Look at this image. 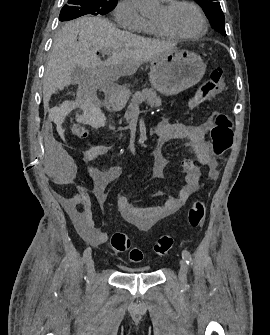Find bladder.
I'll use <instances>...</instances> for the list:
<instances>
[{"label": "bladder", "mask_w": 270, "mask_h": 335, "mask_svg": "<svg viewBox=\"0 0 270 335\" xmlns=\"http://www.w3.org/2000/svg\"><path fill=\"white\" fill-rule=\"evenodd\" d=\"M126 272H133V273H135V271H126ZM144 272V271H143Z\"/></svg>", "instance_id": "bladder-1"}]
</instances>
